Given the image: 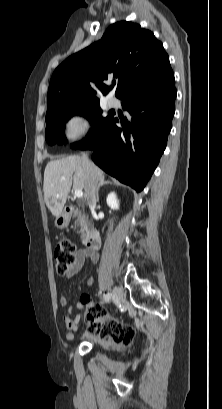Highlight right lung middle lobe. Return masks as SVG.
I'll list each match as a JSON object with an SVG mask.
<instances>
[{"label":"right lung middle lobe","instance_id":"dd1d6c3e","mask_svg":"<svg viewBox=\"0 0 222 409\" xmlns=\"http://www.w3.org/2000/svg\"><path fill=\"white\" fill-rule=\"evenodd\" d=\"M78 113L87 117L92 123V129L84 140L71 144L74 149L94 144L105 133L113 118L111 112L107 117L102 116L103 111L99 106V102L72 104L47 111L45 137L48 144L66 142L64 136L65 124L71 116Z\"/></svg>","mask_w":222,"mask_h":409}]
</instances>
